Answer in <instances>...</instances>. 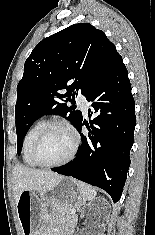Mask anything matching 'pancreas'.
Returning <instances> with one entry per match:
<instances>
[{"instance_id": "1", "label": "pancreas", "mask_w": 155, "mask_h": 235, "mask_svg": "<svg viewBox=\"0 0 155 235\" xmlns=\"http://www.w3.org/2000/svg\"><path fill=\"white\" fill-rule=\"evenodd\" d=\"M58 211L64 215L68 220H71L73 218V216L70 213V210H67L65 208H58Z\"/></svg>"}]
</instances>
